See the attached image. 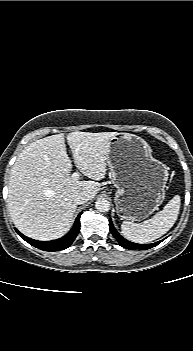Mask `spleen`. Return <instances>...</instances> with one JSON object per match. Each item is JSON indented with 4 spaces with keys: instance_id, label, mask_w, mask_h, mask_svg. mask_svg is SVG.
I'll list each match as a JSON object with an SVG mask.
<instances>
[{
    "instance_id": "spleen-1",
    "label": "spleen",
    "mask_w": 193,
    "mask_h": 351,
    "mask_svg": "<svg viewBox=\"0 0 193 351\" xmlns=\"http://www.w3.org/2000/svg\"><path fill=\"white\" fill-rule=\"evenodd\" d=\"M181 199L174 196L162 211L143 223L124 221L121 225L123 236L136 243H149L167 233L178 218Z\"/></svg>"
}]
</instances>
